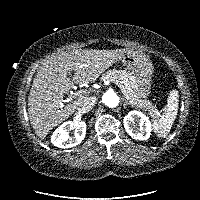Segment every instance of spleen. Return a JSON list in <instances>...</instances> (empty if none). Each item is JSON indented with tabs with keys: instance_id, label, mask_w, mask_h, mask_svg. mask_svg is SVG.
<instances>
[{
	"instance_id": "1",
	"label": "spleen",
	"mask_w": 200,
	"mask_h": 200,
	"mask_svg": "<svg viewBox=\"0 0 200 200\" xmlns=\"http://www.w3.org/2000/svg\"><path fill=\"white\" fill-rule=\"evenodd\" d=\"M178 97V91L172 90L163 114L159 119L154 120L153 130L159 137L165 138L172 128L178 112Z\"/></svg>"
}]
</instances>
